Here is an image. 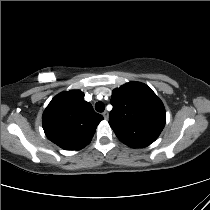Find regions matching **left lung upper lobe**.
Listing matches in <instances>:
<instances>
[{"label":"left lung upper lobe","mask_w":210,"mask_h":210,"mask_svg":"<svg viewBox=\"0 0 210 210\" xmlns=\"http://www.w3.org/2000/svg\"><path fill=\"white\" fill-rule=\"evenodd\" d=\"M109 124L118 139L132 148L153 143L164 128V105L145 84L130 82L112 92Z\"/></svg>","instance_id":"1"}]
</instances>
